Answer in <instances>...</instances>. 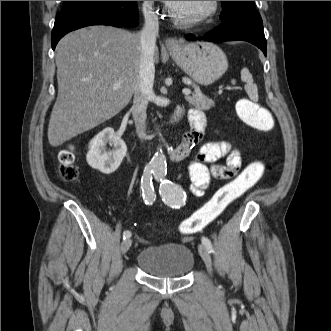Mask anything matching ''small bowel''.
I'll use <instances>...</instances> for the list:
<instances>
[{
    "instance_id": "1",
    "label": "small bowel",
    "mask_w": 331,
    "mask_h": 331,
    "mask_svg": "<svg viewBox=\"0 0 331 331\" xmlns=\"http://www.w3.org/2000/svg\"><path fill=\"white\" fill-rule=\"evenodd\" d=\"M190 129L182 138L181 143L170 153L172 161L187 159L191 149L204 137L206 118L202 111L192 109L188 112ZM225 158V163L218 161ZM242 158L237 149L227 142H208L203 144L188 166L191 179L190 190L196 196L202 195L212 178L230 180L241 172Z\"/></svg>"
}]
</instances>
